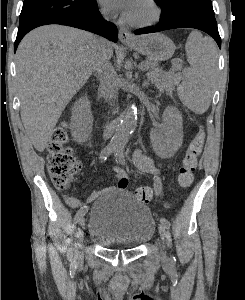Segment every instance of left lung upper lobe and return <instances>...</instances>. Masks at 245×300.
<instances>
[{"label":"left lung upper lobe","mask_w":245,"mask_h":300,"mask_svg":"<svg viewBox=\"0 0 245 300\" xmlns=\"http://www.w3.org/2000/svg\"><path fill=\"white\" fill-rule=\"evenodd\" d=\"M161 7V18L171 14L176 8L189 7L214 14L211 0H155Z\"/></svg>","instance_id":"5c2ea615"}]
</instances>
